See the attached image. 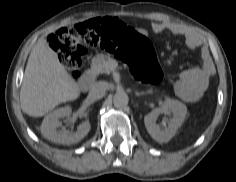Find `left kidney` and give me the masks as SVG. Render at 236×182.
I'll return each instance as SVG.
<instances>
[{"label": "left kidney", "instance_id": "obj_1", "mask_svg": "<svg viewBox=\"0 0 236 182\" xmlns=\"http://www.w3.org/2000/svg\"><path fill=\"white\" fill-rule=\"evenodd\" d=\"M172 114L167 127L161 129L156 120L160 114ZM187 115V107L180 101L167 98L163 105L155 108L144 117L145 127L151 137L159 143H166L173 138Z\"/></svg>", "mask_w": 236, "mask_h": 182}]
</instances>
